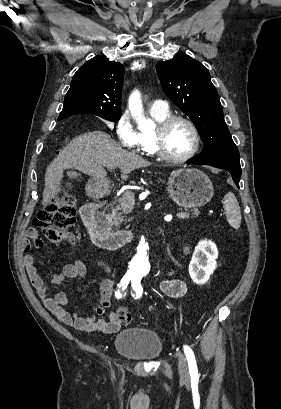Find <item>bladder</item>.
Listing matches in <instances>:
<instances>
[{
  "instance_id": "bladder-1",
  "label": "bladder",
  "mask_w": 281,
  "mask_h": 409,
  "mask_svg": "<svg viewBox=\"0 0 281 409\" xmlns=\"http://www.w3.org/2000/svg\"><path fill=\"white\" fill-rule=\"evenodd\" d=\"M112 344L115 353L132 361H154L164 351L162 337L148 327L124 328L115 334Z\"/></svg>"
}]
</instances>
